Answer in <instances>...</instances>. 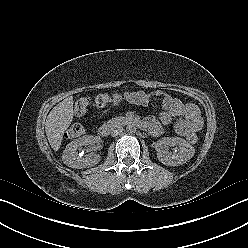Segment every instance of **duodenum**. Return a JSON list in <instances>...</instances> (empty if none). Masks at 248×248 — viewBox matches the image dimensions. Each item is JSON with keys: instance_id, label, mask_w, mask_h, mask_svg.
I'll return each instance as SVG.
<instances>
[{"instance_id": "410a0bca", "label": "duodenum", "mask_w": 248, "mask_h": 248, "mask_svg": "<svg viewBox=\"0 0 248 248\" xmlns=\"http://www.w3.org/2000/svg\"><path fill=\"white\" fill-rule=\"evenodd\" d=\"M127 122L130 124L136 125L138 127H141V128H145V127L147 128L148 126L146 121H143L137 118H128ZM110 132H111V127L109 125H103L98 130V134L101 137H108L110 135Z\"/></svg>"}]
</instances>
